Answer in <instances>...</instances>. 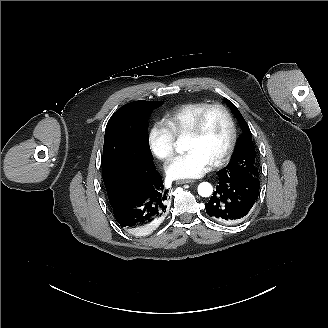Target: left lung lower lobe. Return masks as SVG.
I'll return each instance as SVG.
<instances>
[{"mask_svg": "<svg viewBox=\"0 0 328 328\" xmlns=\"http://www.w3.org/2000/svg\"><path fill=\"white\" fill-rule=\"evenodd\" d=\"M219 184L205 204L207 214L221 223L237 222L255 204L260 188L258 178L218 172Z\"/></svg>", "mask_w": 328, "mask_h": 328, "instance_id": "0a47b994", "label": "left lung lower lobe"}]
</instances>
